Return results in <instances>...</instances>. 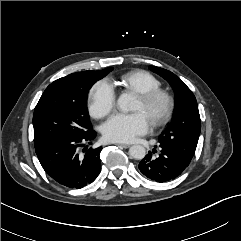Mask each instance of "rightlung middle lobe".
<instances>
[{
  "label": "right lung middle lobe",
  "instance_id": "1",
  "mask_svg": "<svg viewBox=\"0 0 241 241\" xmlns=\"http://www.w3.org/2000/svg\"><path fill=\"white\" fill-rule=\"evenodd\" d=\"M111 70L109 67L103 74L73 73L46 88L33 115L35 149L57 139L84 136L92 130L86 110L87 93Z\"/></svg>",
  "mask_w": 241,
  "mask_h": 241
}]
</instances>
